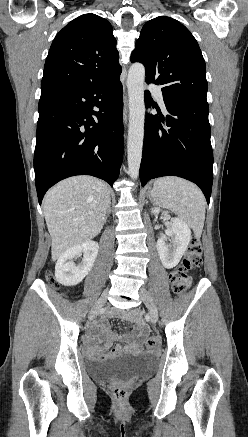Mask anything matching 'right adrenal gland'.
Returning <instances> with one entry per match:
<instances>
[{
    "label": "right adrenal gland",
    "instance_id": "right-adrenal-gland-1",
    "mask_svg": "<svg viewBox=\"0 0 248 437\" xmlns=\"http://www.w3.org/2000/svg\"><path fill=\"white\" fill-rule=\"evenodd\" d=\"M110 212H111V202H109V205H108V208H107V214H106V217H105V222H106L107 217L110 214Z\"/></svg>",
    "mask_w": 248,
    "mask_h": 437
}]
</instances>
